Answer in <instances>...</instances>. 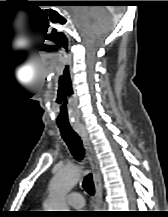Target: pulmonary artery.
I'll list each match as a JSON object with an SVG mask.
<instances>
[{"instance_id":"e3ab8cb5","label":"pulmonary artery","mask_w":168,"mask_h":217,"mask_svg":"<svg viewBox=\"0 0 168 217\" xmlns=\"http://www.w3.org/2000/svg\"><path fill=\"white\" fill-rule=\"evenodd\" d=\"M66 201L70 206L76 209L82 208L85 204L83 196L79 192L69 193L66 197Z\"/></svg>"}]
</instances>
